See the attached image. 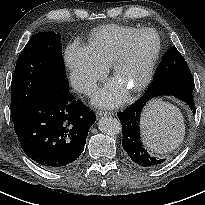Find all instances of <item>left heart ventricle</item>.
Masks as SVG:
<instances>
[{"label":"left heart ventricle","mask_w":205,"mask_h":205,"mask_svg":"<svg viewBox=\"0 0 205 205\" xmlns=\"http://www.w3.org/2000/svg\"><path fill=\"white\" fill-rule=\"evenodd\" d=\"M157 40L154 34L144 33L132 45L130 57L122 64L116 82L128 89L137 84L144 74L149 58L154 53Z\"/></svg>","instance_id":"obj_1"}]
</instances>
